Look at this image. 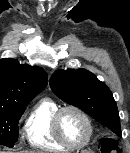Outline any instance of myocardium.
Wrapping results in <instances>:
<instances>
[{"mask_svg": "<svg viewBox=\"0 0 130 153\" xmlns=\"http://www.w3.org/2000/svg\"><path fill=\"white\" fill-rule=\"evenodd\" d=\"M67 111H74L78 113L86 122V125L88 128V134H87L85 141L81 144H78V145L72 144L62 134L61 125H60L61 118H62V115ZM52 127L55 133V136L57 137L59 142L63 144L65 147L69 148L70 150H81L85 148L89 144L93 136V124H92L91 118L82 108L76 105H65V106L60 107L53 116Z\"/></svg>", "mask_w": 130, "mask_h": 153, "instance_id": "myocardium-1", "label": "myocardium"}]
</instances>
